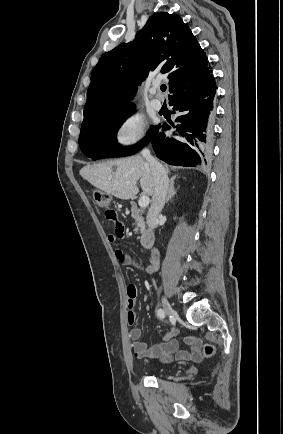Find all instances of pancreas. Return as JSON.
I'll return each mask as SVG.
<instances>
[{"instance_id":"pancreas-1","label":"pancreas","mask_w":283,"mask_h":434,"mask_svg":"<svg viewBox=\"0 0 283 434\" xmlns=\"http://www.w3.org/2000/svg\"><path fill=\"white\" fill-rule=\"evenodd\" d=\"M135 211H136L135 207H132V213L133 214L135 213ZM134 231L136 233L139 231L140 233L143 234L145 232V224H144V222L143 221H137L136 222V227H135Z\"/></svg>"}]
</instances>
